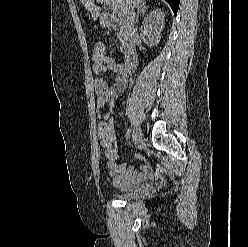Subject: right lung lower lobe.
I'll list each match as a JSON object with an SVG mask.
<instances>
[{
  "label": "right lung lower lobe",
  "instance_id": "98d812e1",
  "mask_svg": "<svg viewBox=\"0 0 248 247\" xmlns=\"http://www.w3.org/2000/svg\"><path fill=\"white\" fill-rule=\"evenodd\" d=\"M168 2V4L171 6L173 12H174V15L177 14V11H178V8H179V2L180 0H165Z\"/></svg>",
  "mask_w": 248,
  "mask_h": 247
}]
</instances>
